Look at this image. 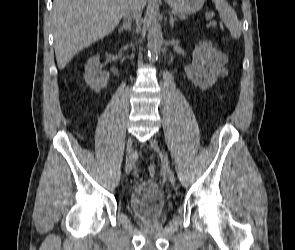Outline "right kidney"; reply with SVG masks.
<instances>
[{
    "instance_id": "obj_1",
    "label": "right kidney",
    "mask_w": 295,
    "mask_h": 250,
    "mask_svg": "<svg viewBox=\"0 0 295 250\" xmlns=\"http://www.w3.org/2000/svg\"><path fill=\"white\" fill-rule=\"evenodd\" d=\"M100 63L99 55L90 58L85 66L84 79L86 84L95 92H100L107 86L109 73L98 68Z\"/></svg>"
}]
</instances>
